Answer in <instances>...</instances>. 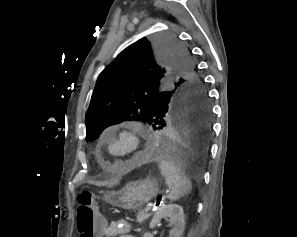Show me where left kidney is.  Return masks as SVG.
<instances>
[{
	"label": "left kidney",
	"instance_id": "obj_1",
	"mask_svg": "<svg viewBox=\"0 0 297 237\" xmlns=\"http://www.w3.org/2000/svg\"><path fill=\"white\" fill-rule=\"evenodd\" d=\"M164 217H169V226H173L169 237H182L185 229V215L183 208L177 204H165L158 208L152 221L149 224L151 229L160 222ZM143 237H153L151 233H145Z\"/></svg>",
	"mask_w": 297,
	"mask_h": 237
}]
</instances>
